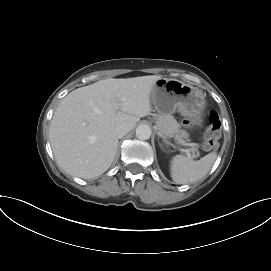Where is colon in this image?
<instances>
[{
	"instance_id": "5ec220e1",
	"label": "colon",
	"mask_w": 271,
	"mask_h": 271,
	"mask_svg": "<svg viewBox=\"0 0 271 271\" xmlns=\"http://www.w3.org/2000/svg\"><path fill=\"white\" fill-rule=\"evenodd\" d=\"M205 125L206 132L203 147L206 150H211L216 147L220 136V121L216 112H208L205 118Z\"/></svg>"
}]
</instances>
